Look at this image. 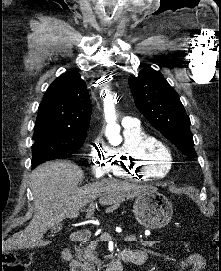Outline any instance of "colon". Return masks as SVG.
<instances>
[{
	"instance_id": "1",
	"label": "colon",
	"mask_w": 221,
	"mask_h": 271,
	"mask_svg": "<svg viewBox=\"0 0 221 271\" xmlns=\"http://www.w3.org/2000/svg\"><path fill=\"white\" fill-rule=\"evenodd\" d=\"M0 271H27V267L14 254L6 253L0 261Z\"/></svg>"
}]
</instances>
